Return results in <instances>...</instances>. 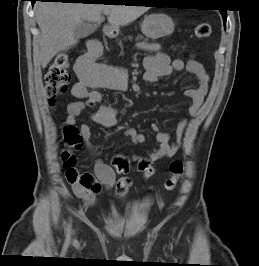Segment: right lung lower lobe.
<instances>
[{
	"label": "right lung lower lobe",
	"instance_id": "1",
	"mask_svg": "<svg viewBox=\"0 0 259 266\" xmlns=\"http://www.w3.org/2000/svg\"><path fill=\"white\" fill-rule=\"evenodd\" d=\"M30 1L32 2V5H34V3L36 1H42V2H44V1H55V2H58V1H60L62 3H65V2H68V1H74V0H30ZM81 1H84L83 2L84 4H86L87 2H91V1H88V0H81Z\"/></svg>",
	"mask_w": 259,
	"mask_h": 266
}]
</instances>
